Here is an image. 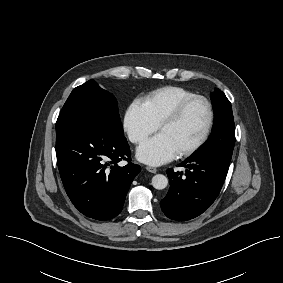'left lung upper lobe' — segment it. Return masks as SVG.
Instances as JSON below:
<instances>
[{"instance_id":"5c2ea615","label":"left lung upper lobe","mask_w":283,"mask_h":283,"mask_svg":"<svg viewBox=\"0 0 283 283\" xmlns=\"http://www.w3.org/2000/svg\"><path fill=\"white\" fill-rule=\"evenodd\" d=\"M215 120L211 137L197 154H217L231 160L235 144V126L231 103L218 88L211 93Z\"/></svg>"}]
</instances>
